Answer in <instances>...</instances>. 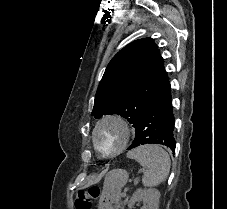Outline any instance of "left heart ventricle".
I'll return each mask as SVG.
<instances>
[{"mask_svg":"<svg viewBox=\"0 0 227 209\" xmlns=\"http://www.w3.org/2000/svg\"><path fill=\"white\" fill-rule=\"evenodd\" d=\"M124 139V130L114 121L102 123L96 131L95 140L102 153H109L120 147Z\"/></svg>","mask_w":227,"mask_h":209,"instance_id":"left-heart-ventricle-1","label":"left heart ventricle"}]
</instances>
